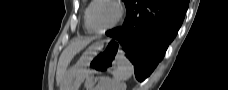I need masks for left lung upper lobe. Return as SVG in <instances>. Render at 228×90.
I'll return each mask as SVG.
<instances>
[{
	"mask_svg": "<svg viewBox=\"0 0 228 90\" xmlns=\"http://www.w3.org/2000/svg\"><path fill=\"white\" fill-rule=\"evenodd\" d=\"M123 1H124V3L126 4L128 0H123Z\"/></svg>",
	"mask_w": 228,
	"mask_h": 90,
	"instance_id": "left-lung-upper-lobe-1",
	"label": "left lung upper lobe"
}]
</instances>
